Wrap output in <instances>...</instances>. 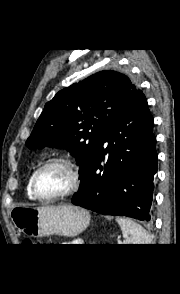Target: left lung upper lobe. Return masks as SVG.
Here are the masks:
<instances>
[{
  "mask_svg": "<svg viewBox=\"0 0 180 294\" xmlns=\"http://www.w3.org/2000/svg\"><path fill=\"white\" fill-rule=\"evenodd\" d=\"M138 91L127 75L114 70L74 83L45 105L26 146L66 148L76 157L82 183L103 139Z\"/></svg>",
  "mask_w": 180,
  "mask_h": 294,
  "instance_id": "5c2ea615",
  "label": "left lung upper lobe"
}]
</instances>
